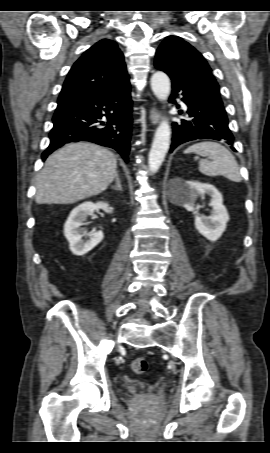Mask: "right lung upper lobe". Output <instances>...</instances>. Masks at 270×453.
<instances>
[{
  "label": "right lung upper lobe",
  "mask_w": 270,
  "mask_h": 453,
  "mask_svg": "<svg viewBox=\"0 0 270 453\" xmlns=\"http://www.w3.org/2000/svg\"><path fill=\"white\" fill-rule=\"evenodd\" d=\"M129 80L117 44L103 39L90 47L72 66L58 102L95 97Z\"/></svg>",
  "instance_id": "1"
}]
</instances>
